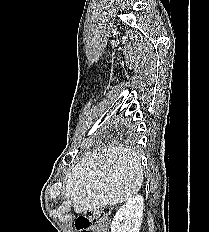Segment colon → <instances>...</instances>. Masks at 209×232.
Here are the masks:
<instances>
[{"mask_svg": "<svg viewBox=\"0 0 209 232\" xmlns=\"http://www.w3.org/2000/svg\"><path fill=\"white\" fill-rule=\"evenodd\" d=\"M109 216V208L87 211L76 218V228L80 232H107Z\"/></svg>", "mask_w": 209, "mask_h": 232, "instance_id": "5ec220e1", "label": "colon"}]
</instances>
